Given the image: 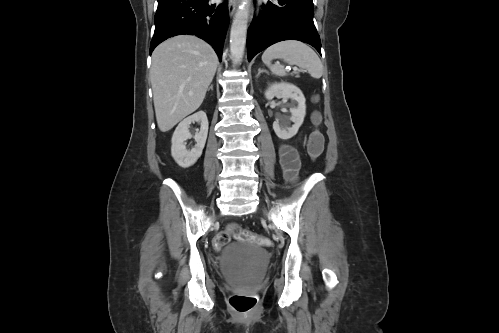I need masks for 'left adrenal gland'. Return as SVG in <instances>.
<instances>
[{
    "mask_svg": "<svg viewBox=\"0 0 499 333\" xmlns=\"http://www.w3.org/2000/svg\"><path fill=\"white\" fill-rule=\"evenodd\" d=\"M264 72L266 73V71H265V70H263V69H258V74L256 75V77H259V75H260L261 73H264Z\"/></svg>",
    "mask_w": 499,
    "mask_h": 333,
    "instance_id": "left-adrenal-gland-1",
    "label": "left adrenal gland"
}]
</instances>
